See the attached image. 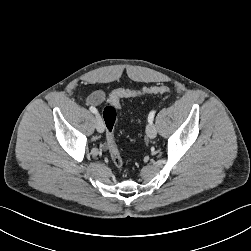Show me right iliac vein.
Here are the masks:
<instances>
[{
  "instance_id": "right-iliac-vein-1",
  "label": "right iliac vein",
  "mask_w": 251,
  "mask_h": 251,
  "mask_svg": "<svg viewBox=\"0 0 251 251\" xmlns=\"http://www.w3.org/2000/svg\"><path fill=\"white\" fill-rule=\"evenodd\" d=\"M95 126H96V129L99 133L104 132L105 126H104V122H103L100 115H96Z\"/></svg>"
}]
</instances>
